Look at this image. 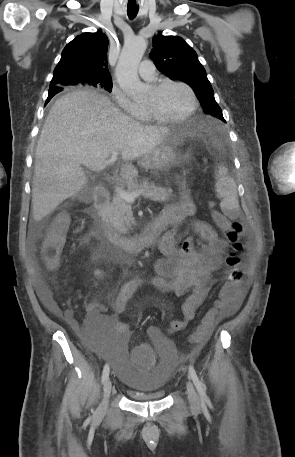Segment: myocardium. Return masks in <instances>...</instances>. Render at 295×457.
<instances>
[{
  "instance_id": "obj_1",
  "label": "myocardium",
  "mask_w": 295,
  "mask_h": 457,
  "mask_svg": "<svg viewBox=\"0 0 295 457\" xmlns=\"http://www.w3.org/2000/svg\"><path fill=\"white\" fill-rule=\"evenodd\" d=\"M168 85L181 86L184 89H186V91L189 93V96L191 99V106H190L189 110L186 113H184L183 115L178 116V117H165V116H162L152 106L145 105V109H146L147 113L153 120L160 122V123H178V122H183V121L189 119L191 116H193L195 114V112L197 111V108H198V99H197V96H196L194 90L187 83L178 81V80H172V79H161L158 82H156L152 86V88L156 91H159Z\"/></svg>"
}]
</instances>
